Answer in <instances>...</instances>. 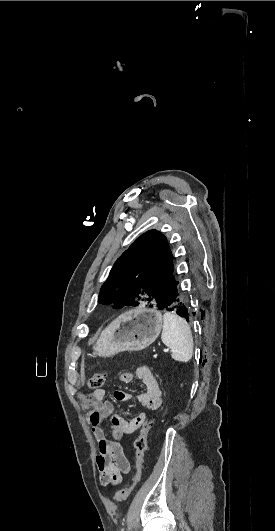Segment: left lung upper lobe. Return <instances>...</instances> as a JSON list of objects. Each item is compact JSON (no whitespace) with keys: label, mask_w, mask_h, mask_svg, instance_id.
I'll list each match as a JSON object with an SVG mask.
<instances>
[{"label":"left lung upper lobe","mask_w":275,"mask_h":531,"mask_svg":"<svg viewBox=\"0 0 275 531\" xmlns=\"http://www.w3.org/2000/svg\"><path fill=\"white\" fill-rule=\"evenodd\" d=\"M172 253L166 237L149 230L117 259L103 284L98 302L123 306L166 307L178 291Z\"/></svg>","instance_id":"left-lung-upper-lobe-1"}]
</instances>
